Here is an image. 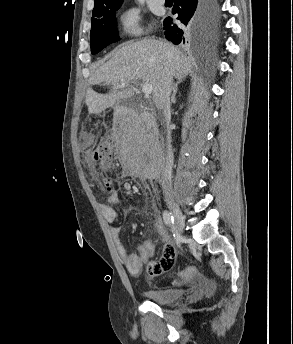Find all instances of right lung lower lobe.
I'll list each match as a JSON object with an SVG mask.
<instances>
[{
    "label": "right lung lower lobe",
    "mask_w": 293,
    "mask_h": 344,
    "mask_svg": "<svg viewBox=\"0 0 293 344\" xmlns=\"http://www.w3.org/2000/svg\"><path fill=\"white\" fill-rule=\"evenodd\" d=\"M183 26L172 25V18L163 22L164 34L174 44L188 42L193 36L213 38L217 31V0H175L172 10Z\"/></svg>",
    "instance_id": "1"
}]
</instances>
